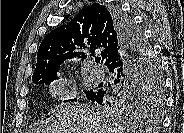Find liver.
Masks as SVG:
<instances>
[{"mask_svg":"<svg viewBox=\"0 0 184 133\" xmlns=\"http://www.w3.org/2000/svg\"><path fill=\"white\" fill-rule=\"evenodd\" d=\"M55 121L46 133H125V128L113 123L109 115L95 112L86 104L61 105L56 109Z\"/></svg>","mask_w":184,"mask_h":133,"instance_id":"1","label":"liver"}]
</instances>
